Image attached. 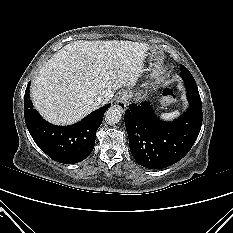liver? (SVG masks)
Wrapping results in <instances>:
<instances>
[{"label": "liver", "instance_id": "1", "mask_svg": "<svg viewBox=\"0 0 233 233\" xmlns=\"http://www.w3.org/2000/svg\"><path fill=\"white\" fill-rule=\"evenodd\" d=\"M149 45L132 41H83L65 45L40 69L30 92L38 112L57 125L73 124L109 102L114 91L134 86Z\"/></svg>", "mask_w": 233, "mask_h": 233}]
</instances>
